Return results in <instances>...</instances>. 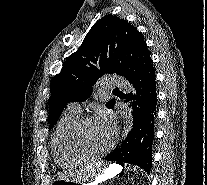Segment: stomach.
<instances>
[{"label": "stomach", "instance_id": "obj_1", "mask_svg": "<svg viewBox=\"0 0 207 185\" xmlns=\"http://www.w3.org/2000/svg\"><path fill=\"white\" fill-rule=\"evenodd\" d=\"M122 171V167L117 164H111L109 167L105 168L103 173L99 175L95 180L89 182L87 185H98L100 183L106 182L109 179L117 176ZM78 183L69 181L67 179H57L53 182V185H76ZM86 185V184H83Z\"/></svg>", "mask_w": 207, "mask_h": 185}]
</instances>
